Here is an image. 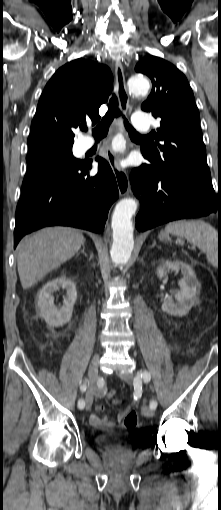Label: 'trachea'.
<instances>
[{
	"mask_svg": "<svg viewBox=\"0 0 221 510\" xmlns=\"http://www.w3.org/2000/svg\"><path fill=\"white\" fill-rule=\"evenodd\" d=\"M120 116H122V113L118 107V99L115 95H113L109 101L108 111L102 118L101 122L92 130V135L94 136V138L96 140H99L106 137L110 124L112 123L114 118H118ZM124 125L130 136L143 137L138 132H136V130H134V128L129 124V122L126 119H124ZM83 130L87 131V128H84Z\"/></svg>",
	"mask_w": 221,
	"mask_h": 510,
	"instance_id": "trachea-1",
	"label": "trachea"
}]
</instances>
